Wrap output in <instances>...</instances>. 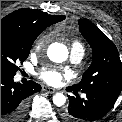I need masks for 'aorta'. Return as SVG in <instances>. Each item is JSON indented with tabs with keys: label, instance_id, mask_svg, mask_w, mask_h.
<instances>
[{
	"label": "aorta",
	"instance_id": "762f6f07",
	"mask_svg": "<svg viewBox=\"0 0 122 122\" xmlns=\"http://www.w3.org/2000/svg\"><path fill=\"white\" fill-rule=\"evenodd\" d=\"M47 55L51 61L62 63L66 61L68 57V49L64 44L55 42L48 47ZM65 102L66 97L62 93H56L53 96V103L56 106L61 107L65 104Z\"/></svg>",
	"mask_w": 122,
	"mask_h": 122
}]
</instances>
